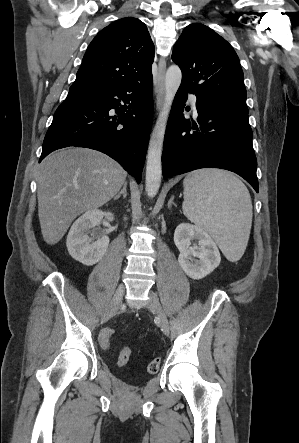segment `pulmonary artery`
Wrapping results in <instances>:
<instances>
[{"instance_id":"obj_1","label":"pulmonary artery","mask_w":299,"mask_h":443,"mask_svg":"<svg viewBox=\"0 0 299 443\" xmlns=\"http://www.w3.org/2000/svg\"><path fill=\"white\" fill-rule=\"evenodd\" d=\"M189 100H190V103H191V106H192V109H193L194 113L197 114V108H196L197 98H196V96L193 95V94H190L189 95Z\"/></svg>"}]
</instances>
